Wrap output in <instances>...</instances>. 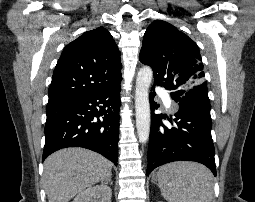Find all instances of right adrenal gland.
I'll use <instances>...</instances> for the list:
<instances>
[{"instance_id": "2a0ac1e0", "label": "right adrenal gland", "mask_w": 255, "mask_h": 202, "mask_svg": "<svg viewBox=\"0 0 255 202\" xmlns=\"http://www.w3.org/2000/svg\"><path fill=\"white\" fill-rule=\"evenodd\" d=\"M103 184H110L111 186L113 185V182L111 180V175H109L104 181H102Z\"/></svg>"}]
</instances>
